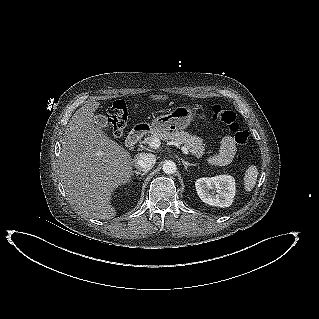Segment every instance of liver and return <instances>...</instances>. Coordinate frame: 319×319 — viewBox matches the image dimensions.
<instances>
[{
  "label": "liver",
  "mask_w": 319,
  "mask_h": 319,
  "mask_svg": "<svg viewBox=\"0 0 319 319\" xmlns=\"http://www.w3.org/2000/svg\"><path fill=\"white\" fill-rule=\"evenodd\" d=\"M99 105L88 102L72 116L64 131L60 168L67 197L78 214L108 220L116 215L111 205L113 191L130 182L133 161L128 151L95 125Z\"/></svg>",
  "instance_id": "6515ba94"
}]
</instances>
